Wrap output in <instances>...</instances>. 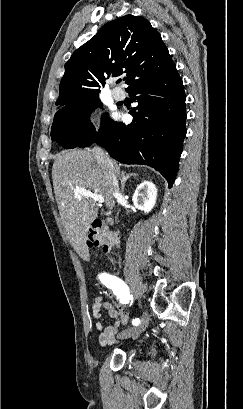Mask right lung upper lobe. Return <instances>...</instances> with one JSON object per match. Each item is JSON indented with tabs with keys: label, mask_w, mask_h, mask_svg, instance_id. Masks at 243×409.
<instances>
[{
	"label": "right lung upper lobe",
	"mask_w": 243,
	"mask_h": 409,
	"mask_svg": "<svg viewBox=\"0 0 243 409\" xmlns=\"http://www.w3.org/2000/svg\"><path fill=\"white\" fill-rule=\"evenodd\" d=\"M175 66L160 34L148 20L126 15L104 25L65 64L57 105L98 97L110 76L127 73L130 89Z\"/></svg>",
	"instance_id": "right-lung-upper-lobe-1"
}]
</instances>
